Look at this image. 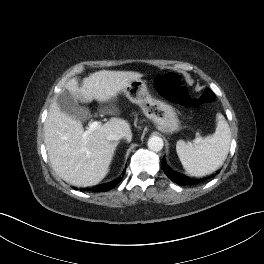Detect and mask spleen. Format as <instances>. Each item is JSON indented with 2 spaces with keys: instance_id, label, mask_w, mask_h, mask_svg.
I'll return each mask as SVG.
<instances>
[{
  "instance_id": "3e777b00",
  "label": "spleen",
  "mask_w": 264,
  "mask_h": 264,
  "mask_svg": "<svg viewBox=\"0 0 264 264\" xmlns=\"http://www.w3.org/2000/svg\"><path fill=\"white\" fill-rule=\"evenodd\" d=\"M215 133L187 144L183 140L176 143L177 155L185 169L192 176H205L219 169L229 152L231 132L221 113L217 116Z\"/></svg>"
}]
</instances>
